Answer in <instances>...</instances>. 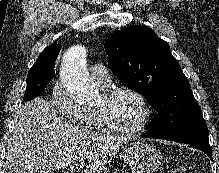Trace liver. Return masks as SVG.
Segmentation results:
<instances>
[{
  "mask_svg": "<svg viewBox=\"0 0 219 173\" xmlns=\"http://www.w3.org/2000/svg\"><path fill=\"white\" fill-rule=\"evenodd\" d=\"M123 138L97 134L62 119L42 98L26 102L15 116L5 173H52L85 164V173H106Z\"/></svg>",
  "mask_w": 219,
  "mask_h": 173,
  "instance_id": "liver-1",
  "label": "liver"
}]
</instances>
